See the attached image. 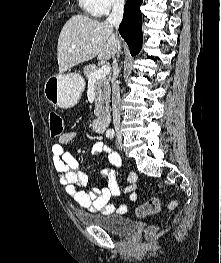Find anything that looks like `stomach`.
<instances>
[{"instance_id": "0dacf381", "label": "stomach", "mask_w": 221, "mask_h": 263, "mask_svg": "<svg viewBox=\"0 0 221 263\" xmlns=\"http://www.w3.org/2000/svg\"><path fill=\"white\" fill-rule=\"evenodd\" d=\"M85 88V81L78 73H67L49 77L44 85L46 99L55 107H74Z\"/></svg>"}]
</instances>
